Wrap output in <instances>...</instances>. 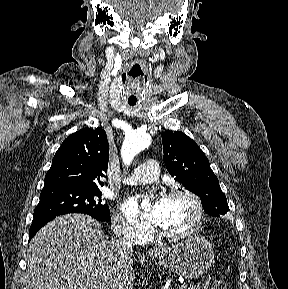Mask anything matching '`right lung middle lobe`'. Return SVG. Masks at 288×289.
<instances>
[{"mask_svg":"<svg viewBox=\"0 0 288 289\" xmlns=\"http://www.w3.org/2000/svg\"><path fill=\"white\" fill-rule=\"evenodd\" d=\"M101 196L99 187L44 188L40 194V202L34 210V218L83 213L101 221H108L110 211L107 204L102 203Z\"/></svg>","mask_w":288,"mask_h":289,"instance_id":"1","label":"right lung middle lobe"}]
</instances>
